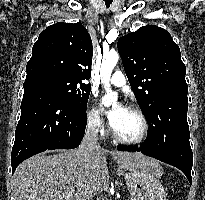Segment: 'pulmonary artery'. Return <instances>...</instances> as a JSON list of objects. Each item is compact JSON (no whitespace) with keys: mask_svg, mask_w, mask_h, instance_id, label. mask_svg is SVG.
I'll use <instances>...</instances> for the list:
<instances>
[{"mask_svg":"<svg viewBox=\"0 0 205 200\" xmlns=\"http://www.w3.org/2000/svg\"><path fill=\"white\" fill-rule=\"evenodd\" d=\"M110 83L117 87H122L126 84L125 75L121 71H116L109 79Z\"/></svg>","mask_w":205,"mask_h":200,"instance_id":"obj_1","label":"pulmonary artery"}]
</instances>
